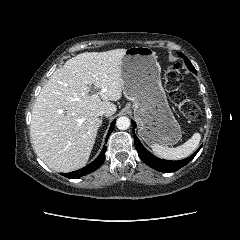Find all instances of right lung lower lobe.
<instances>
[{
  "mask_svg": "<svg viewBox=\"0 0 240 240\" xmlns=\"http://www.w3.org/2000/svg\"><path fill=\"white\" fill-rule=\"evenodd\" d=\"M116 121H113L111 123V126H110V129H109V132L106 136V140H108V137L110 135V133L112 132L113 128H114V124H115ZM107 148L106 146L103 147L100 155L93 161L91 162L90 164H88L87 166H85L84 168L82 169H79L77 171H73V172H70V173H65L64 176L68 177V178H72V179H75V178H79L83 175H86L88 173H91L93 171H95L96 169H98L102 163L104 162L105 160V152H106Z\"/></svg>",
  "mask_w": 240,
  "mask_h": 240,
  "instance_id": "right-lung-lower-lobe-1",
  "label": "right lung lower lobe"
}]
</instances>
